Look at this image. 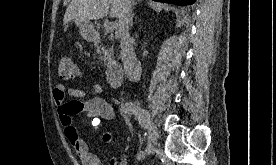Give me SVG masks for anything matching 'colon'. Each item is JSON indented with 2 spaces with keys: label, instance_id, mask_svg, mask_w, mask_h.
I'll return each mask as SVG.
<instances>
[{
  "label": "colon",
  "instance_id": "obj_1",
  "mask_svg": "<svg viewBox=\"0 0 276 165\" xmlns=\"http://www.w3.org/2000/svg\"><path fill=\"white\" fill-rule=\"evenodd\" d=\"M78 69L74 61L70 57H62L58 64V76L60 79L68 80L77 75ZM105 140L110 141L112 136L110 134L105 135Z\"/></svg>",
  "mask_w": 276,
  "mask_h": 165
}]
</instances>
